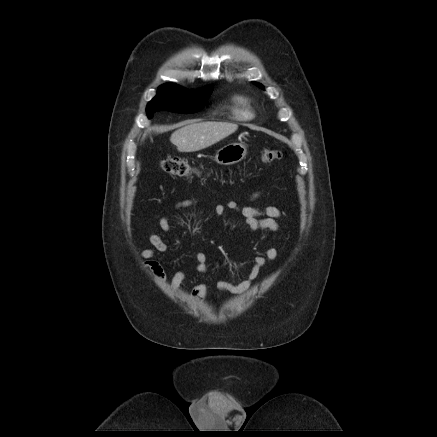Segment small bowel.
<instances>
[{
	"label": "small bowel",
	"instance_id": "c3829d8e",
	"mask_svg": "<svg viewBox=\"0 0 437 437\" xmlns=\"http://www.w3.org/2000/svg\"><path fill=\"white\" fill-rule=\"evenodd\" d=\"M261 196V192H255L251 195L250 200L254 201ZM199 203L197 199H187L178 202L175 205L176 209H183L192 207ZM227 210L234 211L240 214L245 224L251 231H263L268 230L276 232L279 230L278 220L282 217V213L279 208L275 206H266L263 208L254 207L251 205H245L240 207L235 201H228L226 204H216L213 207V212L217 216H222ZM159 227L164 232L171 231V224L167 215H163L159 219ZM149 242L153 248L144 249L141 252V257L144 259L145 266L153 273L156 280L162 284H167L171 289L177 290L185 280L184 272L175 273L171 279H168L164 267L161 262L156 259L159 253H166L169 251V247L162 237L151 231L149 233ZM278 251L273 246H267L263 254L256 255L252 259L251 269L246 279L239 283H232L227 280H220L217 283V287L220 291H228L232 294H241L247 291L253 284L254 280L258 277L260 271L265 267L267 262L273 261L277 258ZM197 270L200 273L207 271V257L203 253L196 254ZM207 292V284L202 283L195 286L192 290V297L195 300H201Z\"/></svg>",
	"mask_w": 437,
	"mask_h": 437
}]
</instances>
